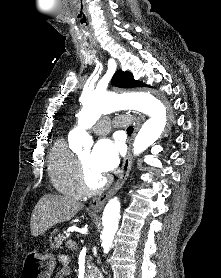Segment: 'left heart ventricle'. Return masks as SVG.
I'll return each mask as SVG.
<instances>
[{"label": "left heart ventricle", "instance_id": "obj_1", "mask_svg": "<svg viewBox=\"0 0 221 278\" xmlns=\"http://www.w3.org/2000/svg\"><path fill=\"white\" fill-rule=\"evenodd\" d=\"M79 157L87 169L90 183L94 186L99 184L104 179L105 176L97 172L92 167L90 162L91 152L89 150L84 151L81 154H79Z\"/></svg>", "mask_w": 221, "mask_h": 278}]
</instances>
